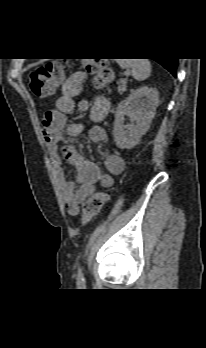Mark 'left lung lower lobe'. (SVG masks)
Masks as SVG:
<instances>
[{
    "mask_svg": "<svg viewBox=\"0 0 206 348\" xmlns=\"http://www.w3.org/2000/svg\"><path fill=\"white\" fill-rule=\"evenodd\" d=\"M159 64L164 66L174 77H176V68L178 64V58H161L154 59Z\"/></svg>",
    "mask_w": 206,
    "mask_h": 348,
    "instance_id": "obj_1",
    "label": "left lung lower lobe"
}]
</instances>
